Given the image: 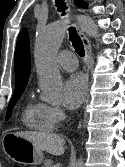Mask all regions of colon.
Here are the masks:
<instances>
[{
  "mask_svg": "<svg viewBox=\"0 0 125 167\" xmlns=\"http://www.w3.org/2000/svg\"><path fill=\"white\" fill-rule=\"evenodd\" d=\"M13 167H22V166H20V165H14Z\"/></svg>",
  "mask_w": 125,
  "mask_h": 167,
  "instance_id": "obj_1",
  "label": "colon"
}]
</instances>
